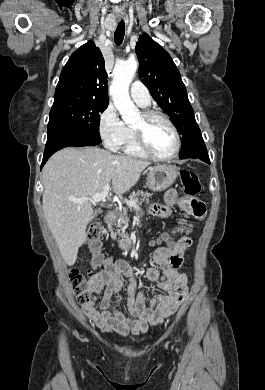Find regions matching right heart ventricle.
Masks as SVG:
<instances>
[{
	"label": "right heart ventricle",
	"instance_id": "1",
	"mask_svg": "<svg viewBox=\"0 0 265 390\" xmlns=\"http://www.w3.org/2000/svg\"><path fill=\"white\" fill-rule=\"evenodd\" d=\"M120 148L124 154L130 157L139 159L148 158V156L140 149L133 128L128 127L126 138Z\"/></svg>",
	"mask_w": 265,
	"mask_h": 390
}]
</instances>
